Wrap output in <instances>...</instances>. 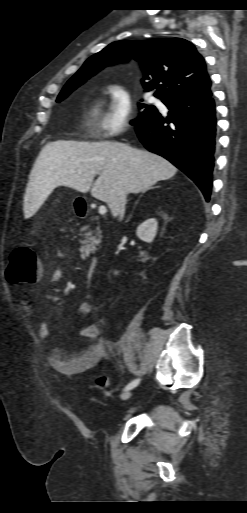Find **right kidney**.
Segmentation results:
<instances>
[{
    "label": "right kidney",
    "instance_id": "1",
    "mask_svg": "<svg viewBox=\"0 0 247 513\" xmlns=\"http://www.w3.org/2000/svg\"><path fill=\"white\" fill-rule=\"evenodd\" d=\"M158 222L151 218L140 224L136 230V235L144 242H152L156 236ZM143 254V253H142Z\"/></svg>",
    "mask_w": 247,
    "mask_h": 513
}]
</instances>
